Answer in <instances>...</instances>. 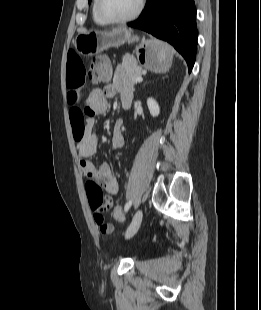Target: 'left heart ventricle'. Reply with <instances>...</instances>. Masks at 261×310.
Wrapping results in <instances>:
<instances>
[{"label":"left heart ventricle","instance_id":"1","mask_svg":"<svg viewBox=\"0 0 261 310\" xmlns=\"http://www.w3.org/2000/svg\"><path fill=\"white\" fill-rule=\"evenodd\" d=\"M138 0H101L102 12L111 18H123L134 12Z\"/></svg>","mask_w":261,"mask_h":310}]
</instances>
